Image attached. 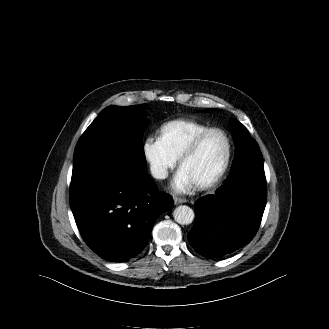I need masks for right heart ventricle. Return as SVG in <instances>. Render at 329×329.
I'll return each instance as SVG.
<instances>
[{"label": "right heart ventricle", "instance_id": "right-heart-ventricle-1", "mask_svg": "<svg viewBox=\"0 0 329 329\" xmlns=\"http://www.w3.org/2000/svg\"><path fill=\"white\" fill-rule=\"evenodd\" d=\"M208 126L187 119H178L163 124L159 130V138L171 154L179 159L189 143Z\"/></svg>", "mask_w": 329, "mask_h": 329}]
</instances>
